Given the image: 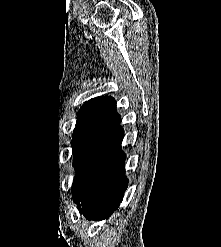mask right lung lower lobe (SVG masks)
Returning <instances> with one entry per match:
<instances>
[{
    "mask_svg": "<svg viewBox=\"0 0 221 247\" xmlns=\"http://www.w3.org/2000/svg\"><path fill=\"white\" fill-rule=\"evenodd\" d=\"M120 119L80 131L72 140L73 201L88 220L108 218L122 201L128 180L126 155L120 150L124 131Z\"/></svg>",
    "mask_w": 221,
    "mask_h": 247,
    "instance_id": "obj_1",
    "label": "right lung lower lobe"
}]
</instances>
